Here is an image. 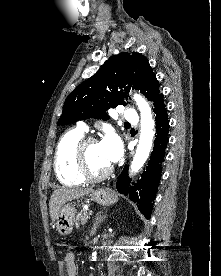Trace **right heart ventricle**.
<instances>
[{
	"instance_id": "obj_1",
	"label": "right heart ventricle",
	"mask_w": 221,
	"mask_h": 276,
	"mask_svg": "<svg viewBox=\"0 0 221 276\" xmlns=\"http://www.w3.org/2000/svg\"><path fill=\"white\" fill-rule=\"evenodd\" d=\"M84 137V132L79 128L65 132L58 141L55 152V170L59 180L67 185L84 183L76 165V146Z\"/></svg>"
}]
</instances>
